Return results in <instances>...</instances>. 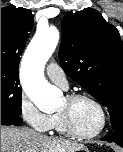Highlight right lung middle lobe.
Here are the masks:
<instances>
[{
  "instance_id": "1",
  "label": "right lung middle lobe",
  "mask_w": 123,
  "mask_h": 152,
  "mask_svg": "<svg viewBox=\"0 0 123 152\" xmlns=\"http://www.w3.org/2000/svg\"><path fill=\"white\" fill-rule=\"evenodd\" d=\"M18 72L1 70V113L21 114L22 89Z\"/></svg>"
}]
</instances>
